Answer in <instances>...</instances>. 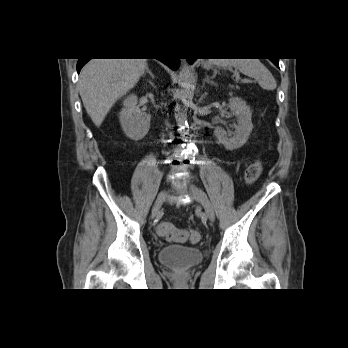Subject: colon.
I'll list each match as a JSON object with an SVG mask.
<instances>
[{
	"label": "colon",
	"mask_w": 348,
	"mask_h": 348,
	"mask_svg": "<svg viewBox=\"0 0 348 348\" xmlns=\"http://www.w3.org/2000/svg\"><path fill=\"white\" fill-rule=\"evenodd\" d=\"M263 165L260 160L252 162L245 171V180L247 183H254L261 175ZM157 233L160 237L172 241H189L192 244L200 241V234L196 230L178 229L170 222H161L157 227Z\"/></svg>",
	"instance_id": "5ec220e1"
}]
</instances>
